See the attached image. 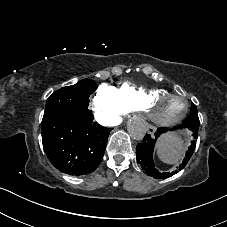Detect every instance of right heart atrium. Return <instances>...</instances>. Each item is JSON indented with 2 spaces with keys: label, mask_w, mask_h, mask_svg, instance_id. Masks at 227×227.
<instances>
[{
  "label": "right heart atrium",
  "mask_w": 227,
  "mask_h": 227,
  "mask_svg": "<svg viewBox=\"0 0 227 227\" xmlns=\"http://www.w3.org/2000/svg\"><path fill=\"white\" fill-rule=\"evenodd\" d=\"M91 107L97 121L103 126H116L126 115L116 88L107 83H103L98 87Z\"/></svg>",
  "instance_id": "1"
}]
</instances>
